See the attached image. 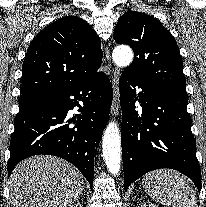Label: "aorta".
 Segmentation results:
<instances>
[{"label": "aorta", "mask_w": 206, "mask_h": 207, "mask_svg": "<svg viewBox=\"0 0 206 207\" xmlns=\"http://www.w3.org/2000/svg\"><path fill=\"white\" fill-rule=\"evenodd\" d=\"M114 63L119 67L128 66L133 59V52L127 46H118L112 53ZM103 157L109 172L117 175L121 163V138L119 127L110 122L105 129L102 142Z\"/></svg>", "instance_id": "aorta-1"}]
</instances>
